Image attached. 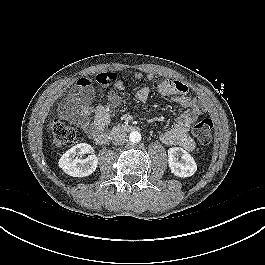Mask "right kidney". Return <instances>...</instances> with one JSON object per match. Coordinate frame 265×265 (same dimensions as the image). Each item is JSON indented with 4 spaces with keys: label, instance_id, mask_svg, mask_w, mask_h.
Listing matches in <instances>:
<instances>
[{
    "label": "right kidney",
    "instance_id": "obj_1",
    "mask_svg": "<svg viewBox=\"0 0 265 265\" xmlns=\"http://www.w3.org/2000/svg\"><path fill=\"white\" fill-rule=\"evenodd\" d=\"M93 153V148L87 143H80L66 151L59 160V167L73 177H85L92 174L98 165V158L95 154L89 155L86 159L78 156Z\"/></svg>",
    "mask_w": 265,
    "mask_h": 265
}]
</instances>
